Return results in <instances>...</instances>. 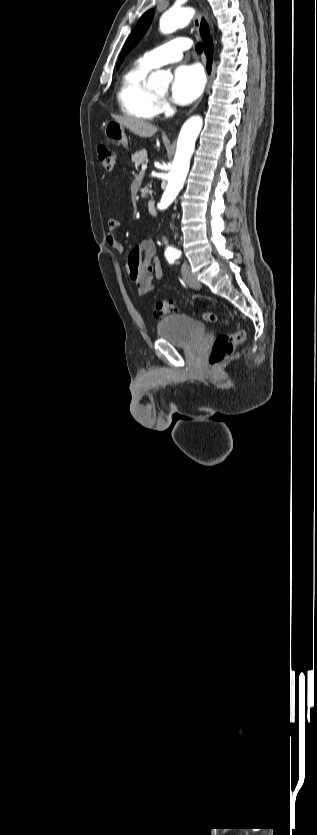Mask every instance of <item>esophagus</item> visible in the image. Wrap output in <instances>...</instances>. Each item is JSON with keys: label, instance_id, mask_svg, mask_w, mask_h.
<instances>
[{"label": "esophagus", "instance_id": "1", "mask_svg": "<svg viewBox=\"0 0 317 835\" xmlns=\"http://www.w3.org/2000/svg\"><path fill=\"white\" fill-rule=\"evenodd\" d=\"M200 23H201V14H200V12H198V13H196V15H195V17H194V19H193V25H194V27H195L197 30H199V28H200ZM200 101H201V99H199V100H198V101L194 104V106H193V107H192V108L188 111V113H187V114H190L191 112H193V111L197 108V106H198V104L200 103Z\"/></svg>", "mask_w": 317, "mask_h": 835}]
</instances>
